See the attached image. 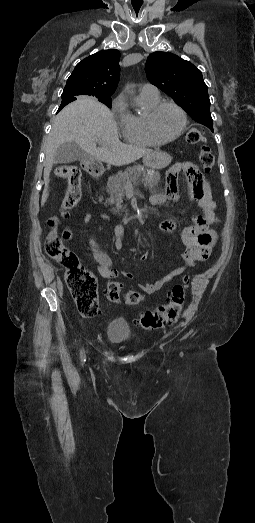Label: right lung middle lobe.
<instances>
[{
	"instance_id": "dd1d6c3e",
	"label": "right lung middle lobe",
	"mask_w": 255,
	"mask_h": 523,
	"mask_svg": "<svg viewBox=\"0 0 255 523\" xmlns=\"http://www.w3.org/2000/svg\"><path fill=\"white\" fill-rule=\"evenodd\" d=\"M63 97V95H62ZM98 100L105 104L106 106H108L109 108H111V105H112V99L110 97H105V98H98Z\"/></svg>"
}]
</instances>
